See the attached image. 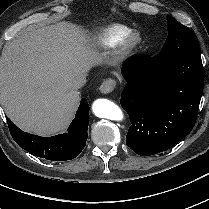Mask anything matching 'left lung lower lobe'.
<instances>
[{"label": "left lung lower lobe", "instance_id": "left-lung-lower-lobe-1", "mask_svg": "<svg viewBox=\"0 0 209 209\" xmlns=\"http://www.w3.org/2000/svg\"><path fill=\"white\" fill-rule=\"evenodd\" d=\"M120 104L131 126L127 145L138 155L168 150L193 129L204 86L200 49L168 59L132 56L121 69Z\"/></svg>", "mask_w": 209, "mask_h": 209}]
</instances>
